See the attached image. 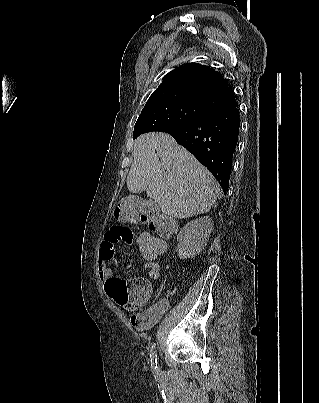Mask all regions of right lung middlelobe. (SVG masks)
<instances>
[{
    "label": "right lung middle lobe",
    "mask_w": 319,
    "mask_h": 403,
    "mask_svg": "<svg viewBox=\"0 0 319 403\" xmlns=\"http://www.w3.org/2000/svg\"><path fill=\"white\" fill-rule=\"evenodd\" d=\"M209 113L207 108L193 103L153 104L143 108L135 124L133 137L169 126L189 124Z\"/></svg>",
    "instance_id": "obj_1"
}]
</instances>
